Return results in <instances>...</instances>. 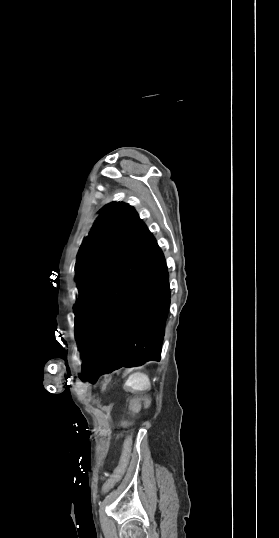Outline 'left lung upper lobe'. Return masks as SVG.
I'll return each mask as SVG.
<instances>
[{
    "label": "left lung upper lobe",
    "instance_id": "1",
    "mask_svg": "<svg viewBox=\"0 0 279 538\" xmlns=\"http://www.w3.org/2000/svg\"><path fill=\"white\" fill-rule=\"evenodd\" d=\"M101 213L77 256L79 301L75 324L150 233L128 204L113 202Z\"/></svg>",
    "mask_w": 279,
    "mask_h": 538
}]
</instances>
